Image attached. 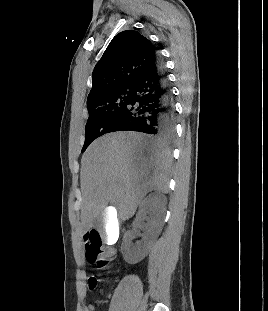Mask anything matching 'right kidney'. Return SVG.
<instances>
[{
    "instance_id": "right-kidney-1",
    "label": "right kidney",
    "mask_w": 268,
    "mask_h": 311,
    "mask_svg": "<svg viewBox=\"0 0 268 311\" xmlns=\"http://www.w3.org/2000/svg\"><path fill=\"white\" fill-rule=\"evenodd\" d=\"M166 204V197L157 192L150 194L140 203L139 211L133 223L134 230L127 231L123 239L122 251L125 261L136 264L149 253L162 230ZM138 228L144 231L142 240L133 244L132 240L137 236Z\"/></svg>"
}]
</instances>
